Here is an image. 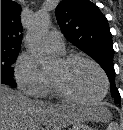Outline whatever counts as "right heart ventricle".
Here are the masks:
<instances>
[{
  "instance_id": "obj_1",
  "label": "right heart ventricle",
  "mask_w": 123,
  "mask_h": 130,
  "mask_svg": "<svg viewBox=\"0 0 123 130\" xmlns=\"http://www.w3.org/2000/svg\"><path fill=\"white\" fill-rule=\"evenodd\" d=\"M47 75H48V91H47V93L50 92L54 96H58L57 93H56V91H55V89H54V87H53L50 75L49 74H47Z\"/></svg>"
}]
</instances>
